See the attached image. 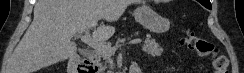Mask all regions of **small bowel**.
Listing matches in <instances>:
<instances>
[{"instance_id":"1","label":"small bowel","mask_w":244,"mask_h":73,"mask_svg":"<svg viewBox=\"0 0 244 73\" xmlns=\"http://www.w3.org/2000/svg\"><path fill=\"white\" fill-rule=\"evenodd\" d=\"M134 69H135L134 73H142V70H141V68L139 66L135 65Z\"/></svg>"}]
</instances>
